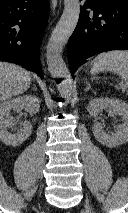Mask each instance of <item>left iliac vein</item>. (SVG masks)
Here are the masks:
<instances>
[{
	"label": "left iliac vein",
	"mask_w": 128,
	"mask_h": 213,
	"mask_svg": "<svg viewBox=\"0 0 128 213\" xmlns=\"http://www.w3.org/2000/svg\"><path fill=\"white\" fill-rule=\"evenodd\" d=\"M85 209L87 210L88 213H91L89 205L87 203H85Z\"/></svg>",
	"instance_id": "obj_1"
}]
</instances>
